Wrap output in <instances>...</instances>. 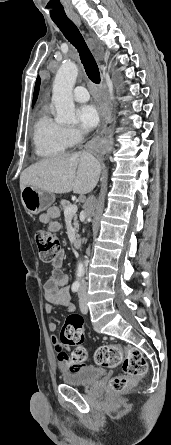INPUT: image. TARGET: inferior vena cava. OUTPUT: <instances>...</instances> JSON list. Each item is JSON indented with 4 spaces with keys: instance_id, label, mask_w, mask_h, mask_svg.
Returning <instances> with one entry per match:
<instances>
[{
    "instance_id": "inferior-vena-cava-1",
    "label": "inferior vena cava",
    "mask_w": 171,
    "mask_h": 445,
    "mask_svg": "<svg viewBox=\"0 0 171 445\" xmlns=\"http://www.w3.org/2000/svg\"><path fill=\"white\" fill-rule=\"evenodd\" d=\"M86 285H87V283H86L85 279L82 278L81 281H80V288H79V292L80 293H85Z\"/></svg>"
}]
</instances>
